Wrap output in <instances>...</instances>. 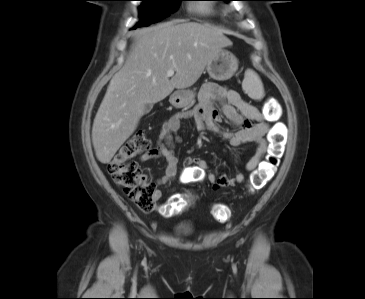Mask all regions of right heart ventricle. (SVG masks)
<instances>
[{
  "mask_svg": "<svg viewBox=\"0 0 365 299\" xmlns=\"http://www.w3.org/2000/svg\"><path fill=\"white\" fill-rule=\"evenodd\" d=\"M201 10L204 11V12H209L210 8L209 7H202Z\"/></svg>",
  "mask_w": 365,
  "mask_h": 299,
  "instance_id": "1",
  "label": "right heart ventricle"
}]
</instances>
